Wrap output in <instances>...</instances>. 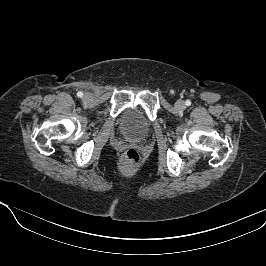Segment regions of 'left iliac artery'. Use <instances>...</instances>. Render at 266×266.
<instances>
[{
    "mask_svg": "<svg viewBox=\"0 0 266 266\" xmlns=\"http://www.w3.org/2000/svg\"><path fill=\"white\" fill-rule=\"evenodd\" d=\"M185 104H186L187 106H190V105H191V101H190V100H186Z\"/></svg>",
    "mask_w": 266,
    "mask_h": 266,
    "instance_id": "44dca946",
    "label": "left iliac artery"
}]
</instances>
